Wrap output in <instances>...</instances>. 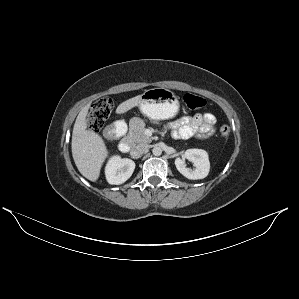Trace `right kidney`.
Here are the masks:
<instances>
[{
	"instance_id": "ca27d5eb",
	"label": "right kidney",
	"mask_w": 299,
	"mask_h": 299,
	"mask_svg": "<svg viewBox=\"0 0 299 299\" xmlns=\"http://www.w3.org/2000/svg\"><path fill=\"white\" fill-rule=\"evenodd\" d=\"M134 169L135 163L131 159L113 156L105 168L106 179L110 184H122L131 177Z\"/></svg>"
}]
</instances>
